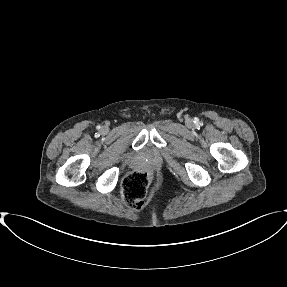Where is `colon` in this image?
Wrapping results in <instances>:
<instances>
[{
	"label": "colon",
	"mask_w": 287,
	"mask_h": 287,
	"mask_svg": "<svg viewBox=\"0 0 287 287\" xmlns=\"http://www.w3.org/2000/svg\"><path fill=\"white\" fill-rule=\"evenodd\" d=\"M149 181V175L143 171L133 172L125 178L122 196L129 207L139 209L144 205Z\"/></svg>",
	"instance_id": "5ec220e1"
}]
</instances>
